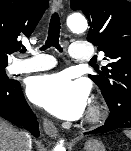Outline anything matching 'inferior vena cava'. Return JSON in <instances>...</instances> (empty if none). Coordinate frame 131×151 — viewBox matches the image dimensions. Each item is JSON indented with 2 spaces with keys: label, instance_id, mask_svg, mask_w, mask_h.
Returning <instances> with one entry per match:
<instances>
[{
  "label": "inferior vena cava",
  "instance_id": "inferior-vena-cava-1",
  "mask_svg": "<svg viewBox=\"0 0 131 151\" xmlns=\"http://www.w3.org/2000/svg\"><path fill=\"white\" fill-rule=\"evenodd\" d=\"M19 141V151H31L32 140L27 132H20Z\"/></svg>",
  "mask_w": 131,
  "mask_h": 151
}]
</instances>
